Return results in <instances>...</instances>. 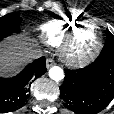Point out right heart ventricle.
Wrapping results in <instances>:
<instances>
[{
	"label": "right heart ventricle",
	"mask_w": 114,
	"mask_h": 114,
	"mask_svg": "<svg viewBox=\"0 0 114 114\" xmlns=\"http://www.w3.org/2000/svg\"><path fill=\"white\" fill-rule=\"evenodd\" d=\"M76 23L71 17L47 21L39 27V38L49 46H59Z\"/></svg>",
	"instance_id": "1"
}]
</instances>
